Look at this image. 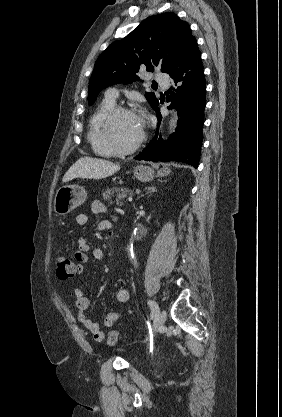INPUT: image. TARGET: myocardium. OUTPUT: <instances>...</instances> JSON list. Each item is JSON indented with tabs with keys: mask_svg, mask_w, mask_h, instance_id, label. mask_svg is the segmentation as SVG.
<instances>
[{
	"mask_svg": "<svg viewBox=\"0 0 282 417\" xmlns=\"http://www.w3.org/2000/svg\"><path fill=\"white\" fill-rule=\"evenodd\" d=\"M124 114H130V115L136 116L134 111L121 107V106H117V107H114L103 119V128H104V132L102 134L103 139H104L105 144L114 153H123V152H129V151L135 150L139 148L146 139V131L144 128H142L141 136L139 137L137 141H135L132 144L121 145L115 141L112 135L113 126H114L115 120L119 116L124 115Z\"/></svg>",
	"mask_w": 282,
	"mask_h": 417,
	"instance_id": "f54148a6",
	"label": "myocardium"
}]
</instances>
